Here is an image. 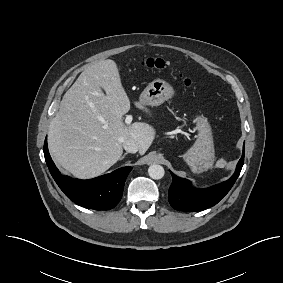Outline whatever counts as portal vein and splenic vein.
Listing matches in <instances>:
<instances>
[{
	"label": "portal vein and splenic vein",
	"mask_w": 283,
	"mask_h": 283,
	"mask_svg": "<svg viewBox=\"0 0 283 283\" xmlns=\"http://www.w3.org/2000/svg\"><path fill=\"white\" fill-rule=\"evenodd\" d=\"M132 116L131 115H127L126 116V119H125V124L128 126V125H130L131 124V122H132ZM100 120L102 121V122H104V119L103 118H100Z\"/></svg>",
	"instance_id": "18ae733b"
}]
</instances>
